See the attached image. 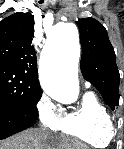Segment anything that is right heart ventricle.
I'll use <instances>...</instances> for the list:
<instances>
[{
  "mask_svg": "<svg viewBox=\"0 0 124 149\" xmlns=\"http://www.w3.org/2000/svg\"><path fill=\"white\" fill-rule=\"evenodd\" d=\"M109 121L107 108L94 93L87 92L76 109L64 113L56 131L89 146L104 148L112 139V134L106 129Z\"/></svg>",
  "mask_w": 124,
  "mask_h": 149,
  "instance_id": "obj_1",
  "label": "right heart ventricle"
}]
</instances>
